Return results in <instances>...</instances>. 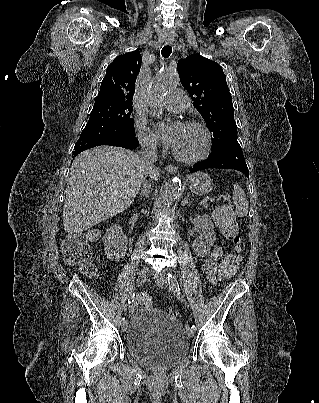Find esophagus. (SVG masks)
<instances>
[{
    "instance_id": "1",
    "label": "esophagus",
    "mask_w": 319,
    "mask_h": 403,
    "mask_svg": "<svg viewBox=\"0 0 319 403\" xmlns=\"http://www.w3.org/2000/svg\"><path fill=\"white\" fill-rule=\"evenodd\" d=\"M167 44H171V41H166ZM166 171L169 173H177L178 172V168L174 165H167L165 167Z\"/></svg>"
}]
</instances>
